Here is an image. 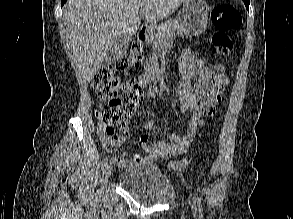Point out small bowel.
<instances>
[{
  "label": "small bowel",
  "mask_w": 293,
  "mask_h": 219,
  "mask_svg": "<svg viewBox=\"0 0 293 219\" xmlns=\"http://www.w3.org/2000/svg\"><path fill=\"white\" fill-rule=\"evenodd\" d=\"M180 70L183 78L178 85L179 106L183 113L189 112L191 114L189 128L181 138H174L169 142H157L153 145L148 143V133L140 135L138 142L146 155L135 154L132 159H128L129 151L124 149L120 154L112 157L117 166L129 167L149 164L159 157L186 153L196 134L203 128L205 118L214 114L216 104L221 100L224 85L227 83L226 76L207 67L204 61L196 58L190 49H185L182 53ZM192 78L197 79L194 85L191 83ZM148 85L149 83L145 84L147 87L145 96L155 98L158 93L157 88ZM144 128L146 131L151 132L154 128V121H146ZM97 135L102 146L109 153H113L114 147L125 144L130 138L128 127L123 128L120 135H108L104 127L99 125Z\"/></svg>",
  "instance_id": "c3829d8e"
}]
</instances>
